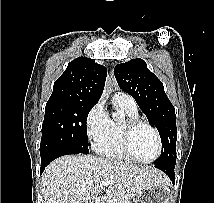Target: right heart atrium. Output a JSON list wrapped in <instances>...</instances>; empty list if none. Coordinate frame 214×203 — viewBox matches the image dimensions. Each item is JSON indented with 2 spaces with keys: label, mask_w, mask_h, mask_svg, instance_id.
<instances>
[{
  "label": "right heart atrium",
  "mask_w": 214,
  "mask_h": 203,
  "mask_svg": "<svg viewBox=\"0 0 214 203\" xmlns=\"http://www.w3.org/2000/svg\"><path fill=\"white\" fill-rule=\"evenodd\" d=\"M110 118L105 111L103 101H98L88 112L85 120L86 133L94 143L107 131Z\"/></svg>",
  "instance_id": "right-heart-atrium-1"
}]
</instances>
